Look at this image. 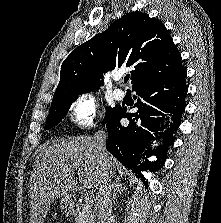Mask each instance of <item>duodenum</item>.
I'll use <instances>...</instances> for the list:
<instances>
[{
    "label": "duodenum",
    "mask_w": 221,
    "mask_h": 223,
    "mask_svg": "<svg viewBox=\"0 0 221 223\" xmlns=\"http://www.w3.org/2000/svg\"><path fill=\"white\" fill-rule=\"evenodd\" d=\"M72 207H73V209H74L75 211H78V210L80 209V206H79V204H78L76 201L73 202Z\"/></svg>",
    "instance_id": "duodenum-1"
}]
</instances>
